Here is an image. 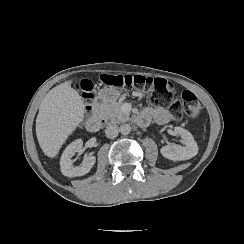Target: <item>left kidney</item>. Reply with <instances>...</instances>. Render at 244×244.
I'll return each mask as SVG.
<instances>
[{
    "instance_id": "obj_1",
    "label": "left kidney",
    "mask_w": 244,
    "mask_h": 244,
    "mask_svg": "<svg viewBox=\"0 0 244 244\" xmlns=\"http://www.w3.org/2000/svg\"><path fill=\"white\" fill-rule=\"evenodd\" d=\"M175 135H180L182 139V143L185 146L170 144L165 145L161 148V154L170 160L173 161H182L191 159L198 153V145L194 140L193 135L186 129L182 127L174 128Z\"/></svg>"
}]
</instances>
